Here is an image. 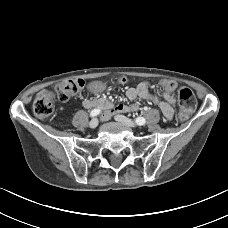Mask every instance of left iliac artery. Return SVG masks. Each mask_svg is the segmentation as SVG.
<instances>
[{
    "label": "left iliac artery",
    "mask_w": 228,
    "mask_h": 228,
    "mask_svg": "<svg viewBox=\"0 0 228 228\" xmlns=\"http://www.w3.org/2000/svg\"><path fill=\"white\" fill-rule=\"evenodd\" d=\"M135 122L137 123V125H144L145 123H146V119L145 118H143V117H137L136 119H135Z\"/></svg>",
    "instance_id": "obj_1"
}]
</instances>
